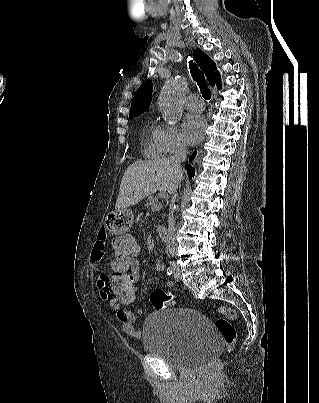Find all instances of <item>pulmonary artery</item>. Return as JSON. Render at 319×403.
<instances>
[{
    "label": "pulmonary artery",
    "mask_w": 319,
    "mask_h": 403,
    "mask_svg": "<svg viewBox=\"0 0 319 403\" xmlns=\"http://www.w3.org/2000/svg\"><path fill=\"white\" fill-rule=\"evenodd\" d=\"M185 105L189 110L201 111L204 108V101L199 95L190 94L186 98Z\"/></svg>",
    "instance_id": "1"
}]
</instances>
